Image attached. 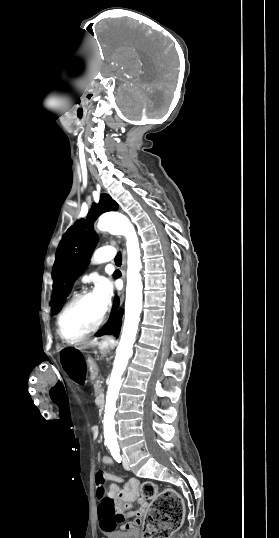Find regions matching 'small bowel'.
<instances>
[{"mask_svg": "<svg viewBox=\"0 0 279 538\" xmlns=\"http://www.w3.org/2000/svg\"><path fill=\"white\" fill-rule=\"evenodd\" d=\"M97 429L93 428L94 436H97ZM102 464L111 465L113 459L109 456L102 458ZM107 479L113 483L109 486V496L115 503L116 512L113 517L101 518L100 527L104 532H110L120 525L122 531L136 530L141 524L142 516L146 509V502L144 499L139 498L140 495V482L131 478L126 482L115 475L108 474ZM117 483H123V488H120ZM138 500L137 507L133 508L132 503ZM132 519L131 521H127Z\"/></svg>", "mask_w": 279, "mask_h": 538, "instance_id": "1", "label": "small bowel"}]
</instances>
